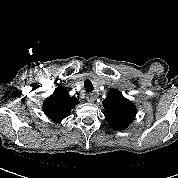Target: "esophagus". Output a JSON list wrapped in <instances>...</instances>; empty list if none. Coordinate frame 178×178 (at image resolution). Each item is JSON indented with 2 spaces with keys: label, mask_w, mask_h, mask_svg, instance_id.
<instances>
[{
  "label": "esophagus",
  "mask_w": 178,
  "mask_h": 178,
  "mask_svg": "<svg viewBox=\"0 0 178 178\" xmlns=\"http://www.w3.org/2000/svg\"><path fill=\"white\" fill-rule=\"evenodd\" d=\"M86 99L88 102H94L96 97L93 94H88Z\"/></svg>",
  "instance_id": "1"
}]
</instances>
